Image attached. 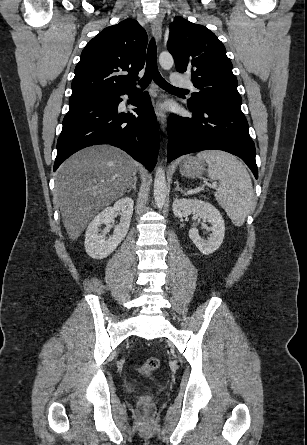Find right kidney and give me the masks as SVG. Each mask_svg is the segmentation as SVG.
Masks as SVG:
<instances>
[{
  "label": "right kidney",
  "mask_w": 307,
  "mask_h": 445,
  "mask_svg": "<svg viewBox=\"0 0 307 445\" xmlns=\"http://www.w3.org/2000/svg\"><path fill=\"white\" fill-rule=\"evenodd\" d=\"M133 204L134 200L129 196L119 198L114 206H107L91 220L85 235V251L89 257H92V259H106L125 239L133 212ZM116 210H121V223L116 225L112 237L108 241H104V235H99V227L101 225L112 227Z\"/></svg>",
  "instance_id": "obj_1"
}]
</instances>
